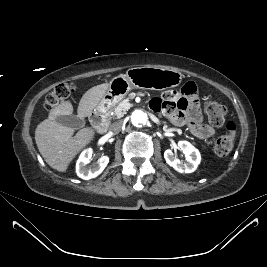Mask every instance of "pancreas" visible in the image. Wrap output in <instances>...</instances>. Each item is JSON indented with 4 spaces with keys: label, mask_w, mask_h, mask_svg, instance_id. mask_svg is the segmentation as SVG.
<instances>
[{
    "label": "pancreas",
    "mask_w": 267,
    "mask_h": 267,
    "mask_svg": "<svg viewBox=\"0 0 267 267\" xmlns=\"http://www.w3.org/2000/svg\"><path fill=\"white\" fill-rule=\"evenodd\" d=\"M129 101V98L122 100L120 103H118L117 106L110 109L108 112V121H112L115 119H119L123 117L127 113V108L123 106L124 103H127Z\"/></svg>",
    "instance_id": "cf45deb5"
}]
</instances>
